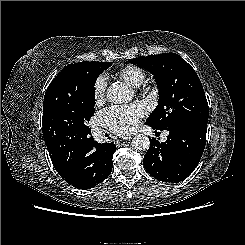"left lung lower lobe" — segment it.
<instances>
[{"label":"left lung lower lobe","instance_id":"left-lung-lower-lobe-1","mask_svg":"<svg viewBox=\"0 0 245 245\" xmlns=\"http://www.w3.org/2000/svg\"><path fill=\"white\" fill-rule=\"evenodd\" d=\"M168 131L169 135L164 143L152 138L143 163L146 171L155 179L178 183L194 171L202 157L207 121L194 119Z\"/></svg>","mask_w":245,"mask_h":245}]
</instances>
